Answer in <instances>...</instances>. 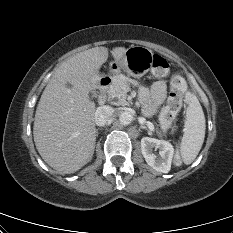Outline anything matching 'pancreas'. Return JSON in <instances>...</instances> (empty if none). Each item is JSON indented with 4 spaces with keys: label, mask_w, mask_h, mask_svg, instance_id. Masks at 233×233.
<instances>
[{
    "label": "pancreas",
    "mask_w": 233,
    "mask_h": 233,
    "mask_svg": "<svg viewBox=\"0 0 233 233\" xmlns=\"http://www.w3.org/2000/svg\"><path fill=\"white\" fill-rule=\"evenodd\" d=\"M130 84L137 86L138 82L124 75H119L115 78L113 87L110 90V95L118 99L117 101L118 105L125 106L129 104L126 100L127 98L126 89L129 87ZM139 90L142 93H147V89H145L142 86L139 87Z\"/></svg>",
    "instance_id": "obj_1"
}]
</instances>
